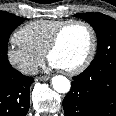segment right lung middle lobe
<instances>
[{
    "label": "right lung middle lobe",
    "instance_id": "1",
    "mask_svg": "<svg viewBox=\"0 0 116 116\" xmlns=\"http://www.w3.org/2000/svg\"><path fill=\"white\" fill-rule=\"evenodd\" d=\"M24 21L22 17L0 11V76L7 75L13 70L7 58V44L11 32Z\"/></svg>",
    "mask_w": 116,
    "mask_h": 116
}]
</instances>
